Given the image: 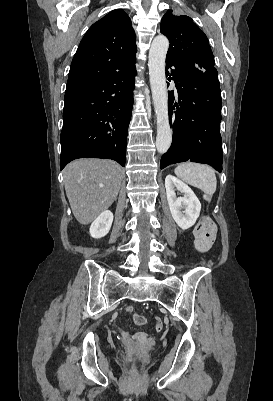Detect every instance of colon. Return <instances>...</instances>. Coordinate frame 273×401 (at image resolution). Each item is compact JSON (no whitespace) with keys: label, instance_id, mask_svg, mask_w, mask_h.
Segmentation results:
<instances>
[{"label":"colon","instance_id":"1","mask_svg":"<svg viewBox=\"0 0 273 401\" xmlns=\"http://www.w3.org/2000/svg\"><path fill=\"white\" fill-rule=\"evenodd\" d=\"M201 227L204 228L206 231H211V232H199L198 233V240L199 241H212L213 240V233L215 231V225L211 219H205L201 221ZM134 321L136 324L142 325L145 321V315L143 312H136L134 315ZM131 372L133 374H136L138 372V369L136 368V365H133V368L131 369Z\"/></svg>","mask_w":273,"mask_h":401}]
</instances>
